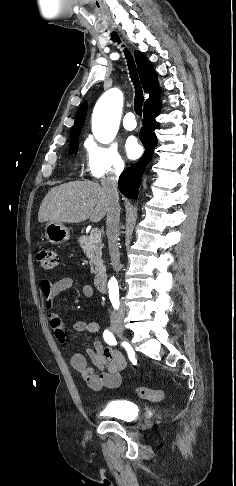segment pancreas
<instances>
[{"label": "pancreas", "mask_w": 236, "mask_h": 486, "mask_svg": "<svg viewBox=\"0 0 236 486\" xmlns=\"http://www.w3.org/2000/svg\"><path fill=\"white\" fill-rule=\"evenodd\" d=\"M79 244L86 256L90 259L91 273L100 274L105 270L102 260L103 244L101 239H95L91 235L81 236Z\"/></svg>", "instance_id": "obj_1"}]
</instances>
